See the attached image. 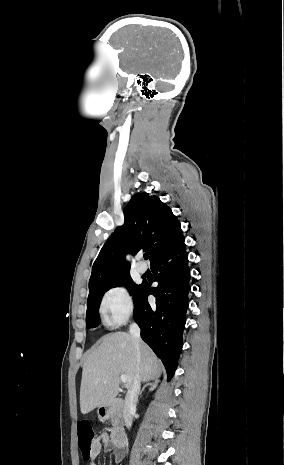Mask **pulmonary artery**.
<instances>
[{
	"label": "pulmonary artery",
	"instance_id": "pulmonary-artery-1",
	"mask_svg": "<svg viewBox=\"0 0 284 465\" xmlns=\"http://www.w3.org/2000/svg\"><path fill=\"white\" fill-rule=\"evenodd\" d=\"M135 267L137 272L140 274H143L146 271V266L141 261H137Z\"/></svg>",
	"mask_w": 284,
	"mask_h": 465
}]
</instances>
